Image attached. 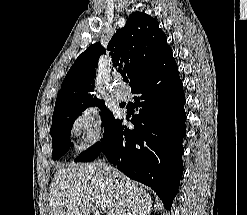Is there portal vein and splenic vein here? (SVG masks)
Here are the masks:
<instances>
[{"instance_id": "obj_1", "label": "portal vein and splenic vein", "mask_w": 247, "mask_h": 215, "mask_svg": "<svg viewBox=\"0 0 247 215\" xmlns=\"http://www.w3.org/2000/svg\"><path fill=\"white\" fill-rule=\"evenodd\" d=\"M96 207L102 210H105L106 205L104 204L103 200H97L95 203Z\"/></svg>"}]
</instances>
